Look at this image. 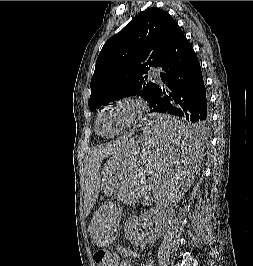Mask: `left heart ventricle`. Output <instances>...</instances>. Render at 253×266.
I'll use <instances>...</instances> for the list:
<instances>
[{
    "label": "left heart ventricle",
    "instance_id": "b2bd125f",
    "mask_svg": "<svg viewBox=\"0 0 253 266\" xmlns=\"http://www.w3.org/2000/svg\"><path fill=\"white\" fill-rule=\"evenodd\" d=\"M132 114L131 107L119 105L105 111L100 117L98 131L102 135H111L121 129Z\"/></svg>",
    "mask_w": 253,
    "mask_h": 266
}]
</instances>
